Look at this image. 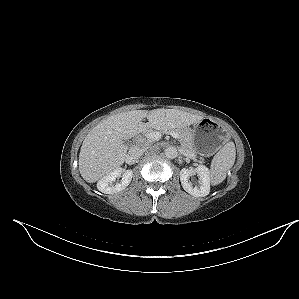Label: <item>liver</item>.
I'll list each match as a JSON object with an SVG mask.
<instances>
[{"instance_id":"obj_1","label":"liver","mask_w":299,"mask_h":299,"mask_svg":"<svg viewBox=\"0 0 299 299\" xmlns=\"http://www.w3.org/2000/svg\"><path fill=\"white\" fill-rule=\"evenodd\" d=\"M143 118L148 123H143ZM203 116L174 109L131 110L109 116L85 137L79 154V171L88 183L118 169L125 161L131 139L147 128L157 130L183 128L200 122Z\"/></svg>"}]
</instances>
